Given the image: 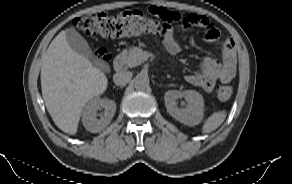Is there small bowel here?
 <instances>
[{"mask_svg":"<svg viewBox=\"0 0 292 184\" xmlns=\"http://www.w3.org/2000/svg\"><path fill=\"white\" fill-rule=\"evenodd\" d=\"M186 27L196 26L206 30L205 39L209 43L218 41L220 31L212 24L208 17L201 14H189L185 17ZM163 45L166 50L175 55L181 51L180 44L170 30L163 36ZM237 57L234 42L226 40L222 45V56L218 60L212 57H206L197 73L189 74L185 80L194 86L201 88L203 91L210 93L217 81L229 83L236 74Z\"/></svg>","mask_w":292,"mask_h":184,"instance_id":"1","label":"small bowel"}]
</instances>
